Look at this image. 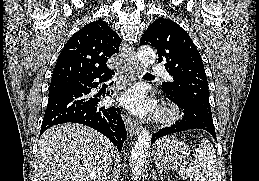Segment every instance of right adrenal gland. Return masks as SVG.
Wrapping results in <instances>:
<instances>
[{
    "label": "right adrenal gland",
    "mask_w": 259,
    "mask_h": 181,
    "mask_svg": "<svg viewBox=\"0 0 259 181\" xmlns=\"http://www.w3.org/2000/svg\"><path fill=\"white\" fill-rule=\"evenodd\" d=\"M103 181H110V174L108 172V174L105 176L104 180Z\"/></svg>",
    "instance_id": "1"
}]
</instances>
